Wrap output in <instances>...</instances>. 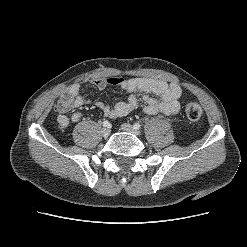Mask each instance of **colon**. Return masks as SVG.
I'll return each instance as SVG.
<instances>
[{
    "label": "colon",
    "mask_w": 247,
    "mask_h": 247,
    "mask_svg": "<svg viewBox=\"0 0 247 247\" xmlns=\"http://www.w3.org/2000/svg\"><path fill=\"white\" fill-rule=\"evenodd\" d=\"M185 114L188 119L192 121L198 120L202 115V108L199 104L195 102H188L184 107Z\"/></svg>",
    "instance_id": "obj_1"
}]
</instances>
